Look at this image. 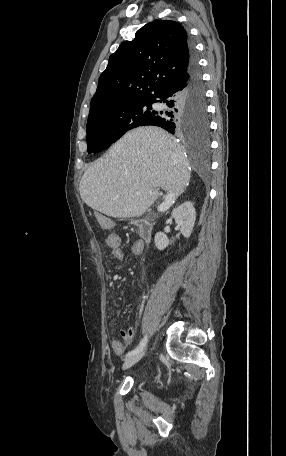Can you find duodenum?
I'll return each instance as SVG.
<instances>
[{
    "mask_svg": "<svg viewBox=\"0 0 286 456\" xmlns=\"http://www.w3.org/2000/svg\"><path fill=\"white\" fill-rule=\"evenodd\" d=\"M136 228L139 234L140 242L147 244L150 242L153 233V224L149 220H139L136 222Z\"/></svg>",
    "mask_w": 286,
    "mask_h": 456,
    "instance_id": "duodenum-1",
    "label": "duodenum"
}]
</instances>
